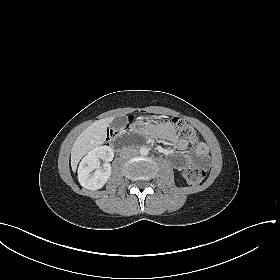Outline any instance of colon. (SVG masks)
<instances>
[{
  "mask_svg": "<svg viewBox=\"0 0 280 280\" xmlns=\"http://www.w3.org/2000/svg\"><path fill=\"white\" fill-rule=\"evenodd\" d=\"M171 123L180 137L187 139L191 144H198V132L192 125L178 117L172 118ZM183 176L188 183L199 184L205 178L206 170L200 166H190L183 171Z\"/></svg>",
  "mask_w": 280,
  "mask_h": 280,
  "instance_id": "5ec220e1",
  "label": "colon"
}]
</instances>
